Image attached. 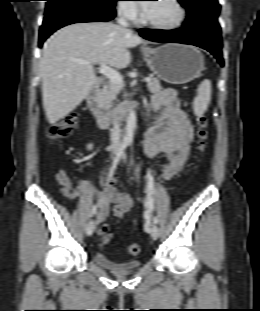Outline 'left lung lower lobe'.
<instances>
[{"label": "left lung lower lobe", "mask_w": 260, "mask_h": 311, "mask_svg": "<svg viewBox=\"0 0 260 311\" xmlns=\"http://www.w3.org/2000/svg\"><path fill=\"white\" fill-rule=\"evenodd\" d=\"M142 37L155 42H175L191 44L211 52L221 66H224L222 58L221 30L204 25H186L176 30L140 29Z\"/></svg>", "instance_id": "obj_1"}]
</instances>
